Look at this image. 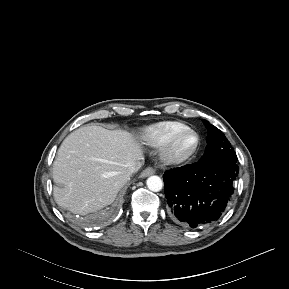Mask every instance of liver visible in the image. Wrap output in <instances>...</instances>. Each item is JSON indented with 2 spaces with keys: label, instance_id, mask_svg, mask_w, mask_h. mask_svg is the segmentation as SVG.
Wrapping results in <instances>:
<instances>
[{
  "label": "liver",
  "instance_id": "liver-1",
  "mask_svg": "<svg viewBox=\"0 0 289 289\" xmlns=\"http://www.w3.org/2000/svg\"><path fill=\"white\" fill-rule=\"evenodd\" d=\"M143 149L134 134L82 126L62 142L53 163L56 203L85 215L111 204L129 176V166L141 167ZM61 186V187H60Z\"/></svg>",
  "mask_w": 289,
  "mask_h": 289
}]
</instances>
